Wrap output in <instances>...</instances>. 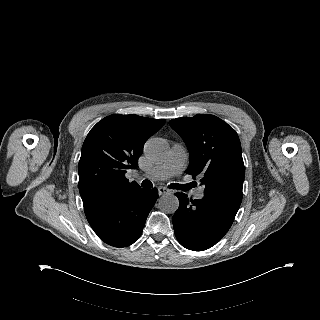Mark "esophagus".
Segmentation results:
<instances>
[{
  "mask_svg": "<svg viewBox=\"0 0 320 320\" xmlns=\"http://www.w3.org/2000/svg\"><path fill=\"white\" fill-rule=\"evenodd\" d=\"M169 192H170V190L168 188H166V187H163V186L158 187L159 196H161L163 194H167Z\"/></svg>",
  "mask_w": 320,
  "mask_h": 320,
  "instance_id": "esophagus-1",
  "label": "esophagus"
}]
</instances>
